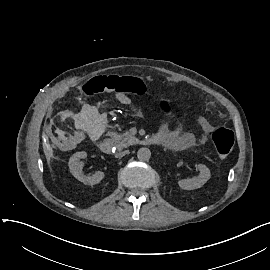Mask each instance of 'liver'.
Wrapping results in <instances>:
<instances>
[{"instance_id":"obj_1","label":"liver","mask_w":270,"mask_h":270,"mask_svg":"<svg viewBox=\"0 0 270 270\" xmlns=\"http://www.w3.org/2000/svg\"><path fill=\"white\" fill-rule=\"evenodd\" d=\"M43 152L46 156L47 164L50 166L52 158L54 157V150L50 146H43Z\"/></svg>"}]
</instances>
